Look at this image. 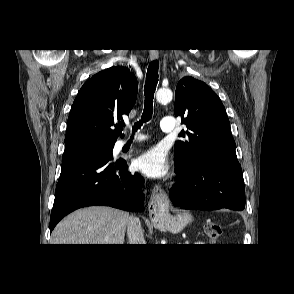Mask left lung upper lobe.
<instances>
[{
    "label": "left lung upper lobe",
    "mask_w": 294,
    "mask_h": 294,
    "mask_svg": "<svg viewBox=\"0 0 294 294\" xmlns=\"http://www.w3.org/2000/svg\"><path fill=\"white\" fill-rule=\"evenodd\" d=\"M175 116L182 117L188 131L175 143V160L185 168L213 160L238 162L229 119L217 94L203 81L187 76L175 92Z\"/></svg>",
    "instance_id": "left-lung-upper-lobe-1"
}]
</instances>
